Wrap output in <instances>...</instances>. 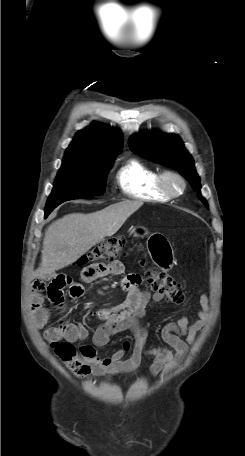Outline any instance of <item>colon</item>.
<instances>
[{
	"instance_id": "5ec220e1",
	"label": "colon",
	"mask_w": 245,
	"mask_h": 456,
	"mask_svg": "<svg viewBox=\"0 0 245 456\" xmlns=\"http://www.w3.org/2000/svg\"><path fill=\"white\" fill-rule=\"evenodd\" d=\"M125 246V239L122 236L113 237L92 249L86 255L80 257L78 265L89 263H99L114 261L121 255ZM144 266L145 263L142 262ZM147 286L154 292L162 293L167 300L174 304H180L184 301V293L178 283L163 271L155 267H147L145 272ZM52 347L56 355L65 363V365L75 373H85L88 366L82 359V351H78L72 344L67 342H54Z\"/></svg>"
}]
</instances>
